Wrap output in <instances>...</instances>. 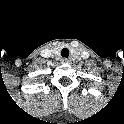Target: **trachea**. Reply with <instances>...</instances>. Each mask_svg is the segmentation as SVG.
<instances>
[{
  "mask_svg": "<svg viewBox=\"0 0 124 124\" xmlns=\"http://www.w3.org/2000/svg\"><path fill=\"white\" fill-rule=\"evenodd\" d=\"M61 56L67 58L69 56V50L67 48H63L61 51Z\"/></svg>",
  "mask_w": 124,
  "mask_h": 124,
  "instance_id": "trachea-1",
  "label": "trachea"
}]
</instances>
